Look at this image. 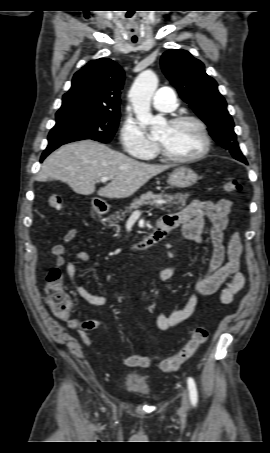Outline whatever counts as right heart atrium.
Segmentation results:
<instances>
[{"mask_svg": "<svg viewBox=\"0 0 270 453\" xmlns=\"http://www.w3.org/2000/svg\"><path fill=\"white\" fill-rule=\"evenodd\" d=\"M120 141L123 150L136 158L152 156L157 146L145 135L142 128L133 120H125L120 129Z\"/></svg>", "mask_w": 270, "mask_h": 453, "instance_id": "obj_1", "label": "right heart atrium"}]
</instances>
